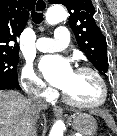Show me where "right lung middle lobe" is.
Returning a JSON list of instances; mask_svg holds the SVG:
<instances>
[{"label":"right lung middle lobe","instance_id":"right-lung-middle-lobe-1","mask_svg":"<svg viewBox=\"0 0 117 136\" xmlns=\"http://www.w3.org/2000/svg\"><path fill=\"white\" fill-rule=\"evenodd\" d=\"M19 57L14 56H0V78H18L17 64Z\"/></svg>","mask_w":117,"mask_h":136}]
</instances>
